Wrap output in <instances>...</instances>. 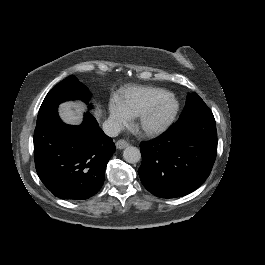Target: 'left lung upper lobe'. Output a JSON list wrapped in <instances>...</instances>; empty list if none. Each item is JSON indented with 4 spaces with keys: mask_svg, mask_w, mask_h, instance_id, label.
Returning <instances> with one entry per match:
<instances>
[{
    "mask_svg": "<svg viewBox=\"0 0 265 265\" xmlns=\"http://www.w3.org/2000/svg\"><path fill=\"white\" fill-rule=\"evenodd\" d=\"M207 108V105L196 93L188 94L185 108L181 113L180 117L190 115Z\"/></svg>",
    "mask_w": 265,
    "mask_h": 265,
    "instance_id": "left-lung-upper-lobe-1",
    "label": "left lung upper lobe"
}]
</instances>
